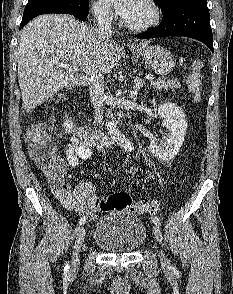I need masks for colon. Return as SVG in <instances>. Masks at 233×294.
<instances>
[{
  "instance_id": "1",
  "label": "colon",
  "mask_w": 233,
  "mask_h": 294,
  "mask_svg": "<svg viewBox=\"0 0 233 294\" xmlns=\"http://www.w3.org/2000/svg\"><path fill=\"white\" fill-rule=\"evenodd\" d=\"M202 63L196 61L190 72L187 85L194 100L198 101L203 89ZM27 144L32 159L47 174L53 183L63 182L64 165L55 156V146L48 137L42 124H33L27 129ZM94 210L107 211L112 209H131L139 214H155L159 210V203L154 200L140 199L134 202L128 193H115L106 199H95L90 202Z\"/></svg>"
}]
</instances>
